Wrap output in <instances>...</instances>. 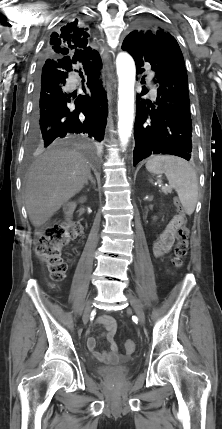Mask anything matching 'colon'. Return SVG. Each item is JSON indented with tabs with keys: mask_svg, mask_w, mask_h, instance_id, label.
<instances>
[{
	"mask_svg": "<svg viewBox=\"0 0 222 429\" xmlns=\"http://www.w3.org/2000/svg\"><path fill=\"white\" fill-rule=\"evenodd\" d=\"M174 204L181 220V225L176 232V243L174 248V264L180 267L188 252L189 230L185 225L186 217L183 207L178 199ZM78 228L70 222H60L48 227L38 240L36 252L45 263L53 281H61L66 274L67 264L62 258V249L77 235ZM125 350L128 354L135 351L133 340L125 342Z\"/></svg>",
	"mask_w": 222,
	"mask_h": 429,
	"instance_id": "1",
	"label": "colon"
}]
</instances>
